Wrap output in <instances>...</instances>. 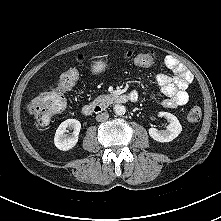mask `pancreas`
I'll use <instances>...</instances> for the list:
<instances>
[{"label": "pancreas", "instance_id": "cf45deb5", "mask_svg": "<svg viewBox=\"0 0 221 221\" xmlns=\"http://www.w3.org/2000/svg\"><path fill=\"white\" fill-rule=\"evenodd\" d=\"M113 99V95H100L93 101V104H100L105 106L111 104Z\"/></svg>", "mask_w": 221, "mask_h": 221}]
</instances>
